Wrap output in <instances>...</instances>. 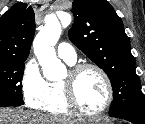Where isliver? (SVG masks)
<instances>
[{"label": "liver", "mask_w": 145, "mask_h": 124, "mask_svg": "<svg viewBox=\"0 0 145 124\" xmlns=\"http://www.w3.org/2000/svg\"><path fill=\"white\" fill-rule=\"evenodd\" d=\"M77 119L58 118L22 109H0V124H79Z\"/></svg>", "instance_id": "6515ba94"}]
</instances>
